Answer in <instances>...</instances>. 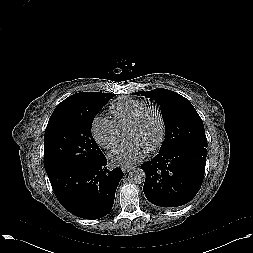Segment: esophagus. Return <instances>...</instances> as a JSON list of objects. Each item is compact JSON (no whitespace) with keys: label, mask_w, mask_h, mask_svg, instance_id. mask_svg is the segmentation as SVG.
Segmentation results:
<instances>
[{"label":"esophagus","mask_w":253,"mask_h":253,"mask_svg":"<svg viewBox=\"0 0 253 253\" xmlns=\"http://www.w3.org/2000/svg\"><path fill=\"white\" fill-rule=\"evenodd\" d=\"M132 169H133L132 166H123V167H122V171H123L124 173H128V172L131 171Z\"/></svg>","instance_id":"1"}]
</instances>
